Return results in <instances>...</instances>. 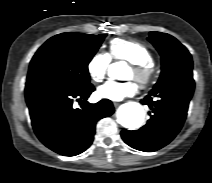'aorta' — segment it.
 Listing matches in <instances>:
<instances>
[{"mask_svg":"<svg viewBox=\"0 0 212 183\" xmlns=\"http://www.w3.org/2000/svg\"><path fill=\"white\" fill-rule=\"evenodd\" d=\"M120 63L112 64L109 68L110 76H114V71ZM145 113L142 105L136 102H128L120 106L117 111V121L123 127L133 130L142 126Z\"/></svg>","mask_w":212,"mask_h":183,"instance_id":"aorta-1","label":"aorta"}]
</instances>
